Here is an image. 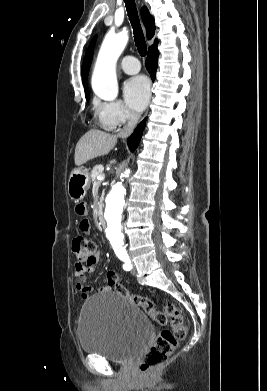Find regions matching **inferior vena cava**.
Returning <instances> with one entry per match:
<instances>
[{
	"label": "inferior vena cava",
	"mask_w": 267,
	"mask_h": 391,
	"mask_svg": "<svg viewBox=\"0 0 267 391\" xmlns=\"http://www.w3.org/2000/svg\"><path fill=\"white\" fill-rule=\"evenodd\" d=\"M139 119V114L135 112H129L127 115V124L118 133V137L127 138L133 131Z\"/></svg>",
	"instance_id": "602c4592"
}]
</instances>
